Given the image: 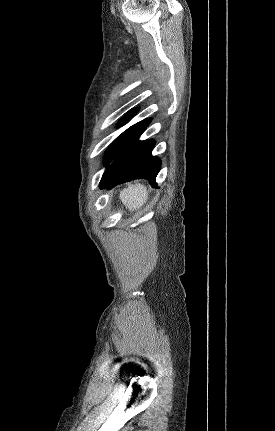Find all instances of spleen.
<instances>
[{
	"label": "spleen",
	"mask_w": 275,
	"mask_h": 431,
	"mask_svg": "<svg viewBox=\"0 0 275 431\" xmlns=\"http://www.w3.org/2000/svg\"><path fill=\"white\" fill-rule=\"evenodd\" d=\"M120 199L130 211L139 209L148 199V192L144 185H130L120 193Z\"/></svg>",
	"instance_id": "spleen-1"
}]
</instances>
